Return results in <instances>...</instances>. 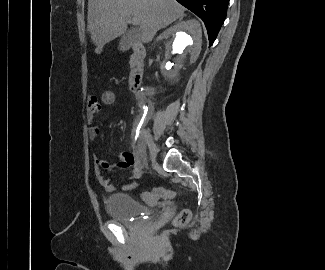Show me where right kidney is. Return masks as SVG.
<instances>
[{
    "instance_id": "right-kidney-1",
    "label": "right kidney",
    "mask_w": 325,
    "mask_h": 270,
    "mask_svg": "<svg viewBox=\"0 0 325 270\" xmlns=\"http://www.w3.org/2000/svg\"><path fill=\"white\" fill-rule=\"evenodd\" d=\"M201 33L200 24L196 20H187L159 36L158 39L165 40V44L157 68L168 83L178 82L188 67L197 60L202 45Z\"/></svg>"
}]
</instances>
